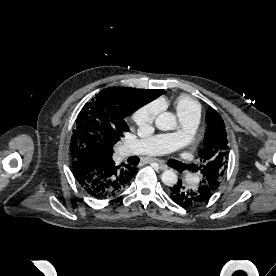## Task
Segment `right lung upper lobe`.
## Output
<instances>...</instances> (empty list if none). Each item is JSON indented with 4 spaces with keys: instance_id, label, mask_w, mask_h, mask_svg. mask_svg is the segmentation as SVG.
I'll return each mask as SVG.
<instances>
[{
    "instance_id": "right-lung-upper-lobe-1",
    "label": "right lung upper lobe",
    "mask_w": 276,
    "mask_h": 276,
    "mask_svg": "<svg viewBox=\"0 0 276 276\" xmlns=\"http://www.w3.org/2000/svg\"><path fill=\"white\" fill-rule=\"evenodd\" d=\"M107 89L111 90V91L118 92L125 97H132V98L135 97L134 94L136 91H142L143 93H145L147 98L142 100L139 106H141L142 104L149 102V101L153 100L154 98H157L159 95H162L165 93L164 90H157V89H135V88H122V87H112V88H107ZM113 152H114V150L112 147V148H109V149L105 150L104 152H102L98 157L101 160H112Z\"/></svg>"
}]
</instances>
